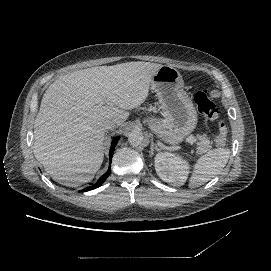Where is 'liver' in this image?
<instances>
[{"label":"liver","instance_id":"1","mask_svg":"<svg viewBox=\"0 0 271 271\" xmlns=\"http://www.w3.org/2000/svg\"><path fill=\"white\" fill-rule=\"evenodd\" d=\"M163 66L127 62L67 73L45 91L34 122L35 158L66 186L90 182L104 158L105 120L123 124Z\"/></svg>","mask_w":271,"mask_h":271}]
</instances>
